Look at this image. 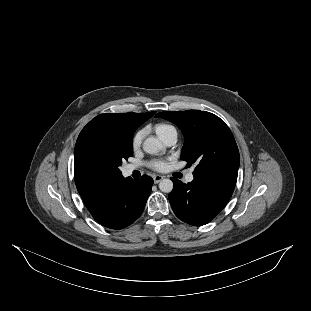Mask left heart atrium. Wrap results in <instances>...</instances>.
Instances as JSON below:
<instances>
[{"mask_svg":"<svg viewBox=\"0 0 311 311\" xmlns=\"http://www.w3.org/2000/svg\"><path fill=\"white\" fill-rule=\"evenodd\" d=\"M150 168L154 171L157 172H164L167 170L168 168V164L166 161L163 160H158V161H154L150 164Z\"/></svg>","mask_w":311,"mask_h":311,"instance_id":"1","label":"left heart atrium"}]
</instances>
